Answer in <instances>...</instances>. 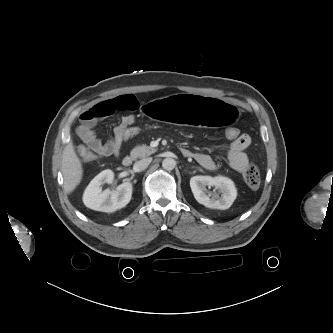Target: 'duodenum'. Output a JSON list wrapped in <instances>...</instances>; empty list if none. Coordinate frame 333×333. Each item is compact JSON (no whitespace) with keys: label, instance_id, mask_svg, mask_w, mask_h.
Listing matches in <instances>:
<instances>
[{"label":"duodenum","instance_id":"1","mask_svg":"<svg viewBox=\"0 0 333 333\" xmlns=\"http://www.w3.org/2000/svg\"><path fill=\"white\" fill-rule=\"evenodd\" d=\"M182 153H183L185 156H190V155H191V153H190L188 150H186V149H183V150H182ZM132 163H133V157H132V156H126V157H124L123 160H122V164H123V166H125V167H129Z\"/></svg>","mask_w":333,"mask_h":333}]
</instances>
